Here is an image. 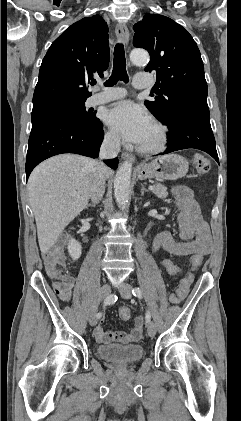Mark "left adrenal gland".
<instances>
[{
	"label": "left adrenal gland",
	"instance_id": "1",
	"mask_svg": "<svg viewBox=\"0 0 241 421\" xmlns=\"http://www.w3.org/2000/svg\"><path fill=\"white\" fill-rule=\"evenodd\" d=\"M142 189H141V196L144 195V192H148V190L145 188V186L142 184Z\"/></svg>",
	"mask_w": 241,
	"mask_h": 421
}]
</instances>
